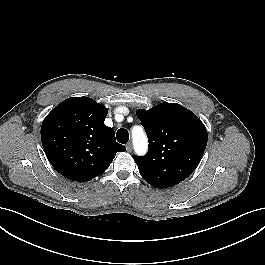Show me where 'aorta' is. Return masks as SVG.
<instances>
[{"label": "aorta", "instance_id": "obj_1", "mask_svg": "<svg viewBox=\"0 0 265 265\" xmlns=\"http://www.w3.org/2000/svg\"><path fill=\"white\" fill-rule=\"evenodd\" d=\"M133 143L136 152L145 153L147 150V138L143 131L133 132Z\"/></svg>", "mask_w": 265, "mask_h": 265}]
</instances>
